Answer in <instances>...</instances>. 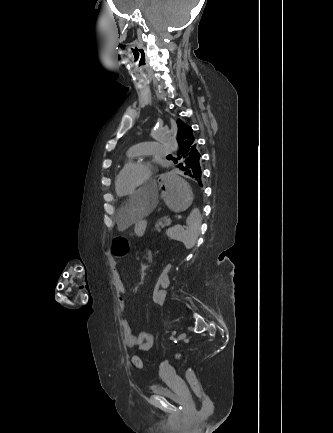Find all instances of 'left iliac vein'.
Returning <instances> with one entry per match:
<instances>
[{"label":"left iliac vein","mask_w":333,"mask_h":433,"mask_svg":"<svg viewBox=\"0 0 333 433\" xmlns=\"http://www.w3.org/2000/svg\"><path fill=\"white\" fill-rule=\"evenodd\" d=\"M186 338V334L185 333H181L179 336H178V339L179 340H183V339H185Z\"/></svg>","instance_id":"left-iliac-vein-1"}]
</instances>
